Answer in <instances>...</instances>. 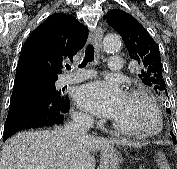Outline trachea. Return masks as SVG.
I'll use <instances>...</instances> for the list:
<instances>
[{
	"mask_svg": "<svg viewBox=\"0 0 177 169\" xmlns=\"http://www.w3.org/2000/svg\"><path fill=\"white\" fill-rule=\"evenodd\" d=\"M94 60V47L92 45H88L85 51V57L82 63L79 65V68L85 67L88 62H92ZM66 69H71L69 65H66Z\"/></svg>",
	"mask_w": 177,
	"mask_h": 169,
	"instance_id": "obj_1",
	"label": "trachea"
}]
</instances>
